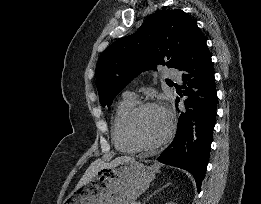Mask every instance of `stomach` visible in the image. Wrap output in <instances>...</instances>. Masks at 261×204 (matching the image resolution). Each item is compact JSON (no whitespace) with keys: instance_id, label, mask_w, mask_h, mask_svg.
Returning <instances> with one entry per match:
<instances>
[{"instance_id":"obj_1","label":"stomach","mask_w":261,"mask_h":204,"mask_svg":"<svg viewBox=\"0 0 261 204\" xmlns=\"http://www.w3.org/2000/svg\"><path fill=\"white\" fill-rule=\"evenodd\" d=\"M158 169L135 160L101 168L89 183L77 185L64 204H135Z\"/></svg>"}]
</instances>
